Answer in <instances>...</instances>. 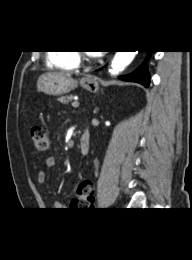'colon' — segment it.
I'll return each mask as SVG.
<instances>
[{"label": "colon", "mask_w": 192, "mask_h": 260, "mask_svg": "<svg viewBox=\"0 0 192 260\" xmlns=\"http://www.w3.org/2000/svg\"><path fill=\"white\" fill-rule=\"evenodd\" d=\"M31 137L33 145L38 153H44L49 149V137L41 126H34L31 129ZM94 186L90 180H83L76 190V201H83L85 199H94L93 197Z\"/></svg>", "instance_id": "colon-1"}]
</instances>
